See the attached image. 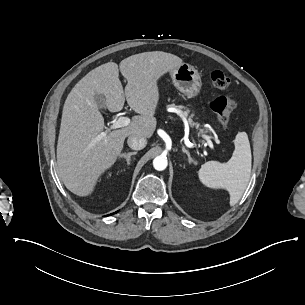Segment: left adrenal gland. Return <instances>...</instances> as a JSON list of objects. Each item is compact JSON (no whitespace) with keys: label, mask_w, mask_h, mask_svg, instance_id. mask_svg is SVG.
<instances>
[{"label":"left adrenal gland","mask_w":305,"mask_h":305,"mask_svg":"<svg viewBox=\"0 0 305 305\" xmlns=\"http://www.w3.org/2000/svg\"><path fill=\"white\" fill-rule=\"evenodd\" d=\"M182 150H183L184 153L187 154L189 163L195 162V161L192 159V157L190 156V152H189L188 150H186L184 147L182 148Z\"/></svg>","instance_id":"obj_1"}]
</instances>
